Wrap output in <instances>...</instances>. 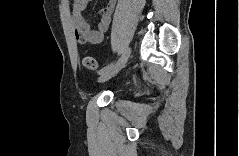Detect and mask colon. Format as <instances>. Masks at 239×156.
Returning a JSON list of instances; mask_svg holds the SVG:
<instances>
[{
	"instance_id": "colon-1",
	"label": "colon",
	"mask_w": 239,
	"mask_h": 156,
	"mask_svg": "<svg viewBox=\"0 0 239 156\" xmlns=\"http://www.w3.org/2000/svg\"><path fill=\"white\" fill-rule=\"evenodd\" d=\"M82 63L84 65V67L89 70H97V68H98V63H97L96 59H94L91 56H85L82 60Z\"/></svg>"
}]
</instances>
